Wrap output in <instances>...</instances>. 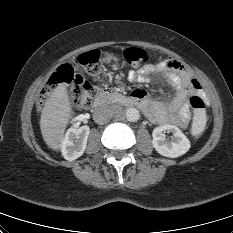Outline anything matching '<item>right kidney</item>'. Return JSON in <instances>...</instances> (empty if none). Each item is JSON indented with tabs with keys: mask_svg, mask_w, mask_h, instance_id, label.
Wrapping results in <instances>:
<instances>
[{
	"mask_svg": "<svg viewBox=\"0 0 233 233\" xmlns=\"http://www.w3.org/2000/svg\"><path fill=\"white\" fill-rule=\"evenodd\" d=\"M89 133L90 128L88 126L67 130L61 144L62 155L66 160L74 161L83 155Z\"/></svg>",
	"mask_w": 233,
	"mask_h": 233,
	"instance_id": "1",
	"label": "right kidney"
}]
</instances>
